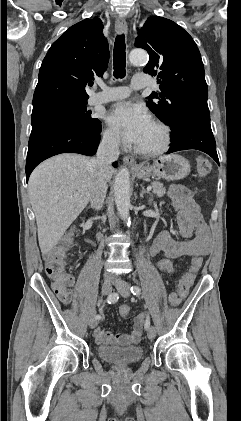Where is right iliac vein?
<instances>
[{"mask_svg":"<svg viewBox=\"0 0 241 421\" xmlns=\"http://www.w3.org/2000/svg\"><path fill=\"white\" fill-rule=\"evenodd\" d=\"M112 291V284L110 280H105L102 284L101 287V293L102 295H107L110 294ZM89 326L90 328H95L97 326V319L95 318V316H92L89 319Z\"/></svg>","mask_w":241,"mask_h":421,"instance_id":"right-iliac-vein-1","label":"right iliac vein"}]
</instances>
